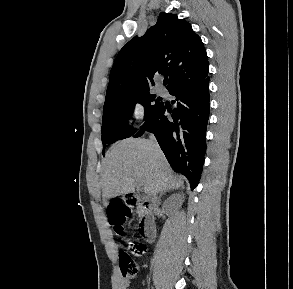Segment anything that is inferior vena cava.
Listing matches in <instances>:
<instances>
[{
    "mask_svg": "<svg viewBox=\"0 0 293 289\" xmlns=\"http://www.w3.org/2000/svg\"><path fill=\"white\" fill-rule=\"evenodd\" d=\"M150 142H151L152 144L158 146V143H157V141H156V139H155V137H154L153 135H150ZM157 202H158L157 193H155V194L153 195V198H152V206L155 207L156 204H157Z\"/></svg>",
    "mask_w": 293,
    "mask_h": 289,
    "instance_id": "1",
    "label": "inferior vena cava"
}]
</instances>
